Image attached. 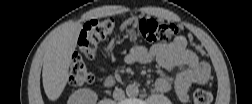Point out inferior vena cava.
<instances>
[{
	"label": "inferior vena cava",
	"mask_w": 252,
	"mask_h": 104,
	"mask_svg": "<svg viewBox=\"0 0 252 104\" xmlns=\"http://www.w3.org/2000/svg\"><path fill=\"white\" fill-rule=\"evenodd\" d=\"M125 97V93L121 88H115L114 92H113V98L115 100H123Z\"/></svg>",
	"instance_id": "1"
}]
</instances>
